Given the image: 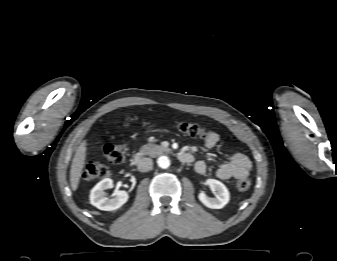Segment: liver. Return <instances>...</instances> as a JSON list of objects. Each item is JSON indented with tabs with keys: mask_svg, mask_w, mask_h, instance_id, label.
Segmentation results:
<instances>
[{
	"mask_svg": "<svg viewBox=\"0 0 337 261\" xmlns=\"http://www.w3.org/2000/svg\"><path fill=\"white\" fill-rule=\"evenodd\" d=\"M87 151V141L84 140L76 150L70 169V184L73 191H76L80 182L82 170L85 165Z\"/></svg>",
	"mask_w": 337,
	"mask_h": 261,
	"instance_id": "6515ba94",
	"label": "liver"
}]
</instances>
